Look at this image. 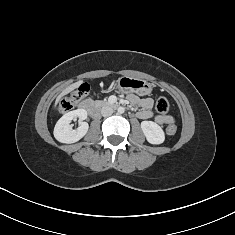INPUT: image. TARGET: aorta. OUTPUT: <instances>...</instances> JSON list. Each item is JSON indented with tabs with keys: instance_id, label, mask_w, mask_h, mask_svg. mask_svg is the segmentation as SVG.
Listing matches in <instances>:
<instances>
[{
	"instance_id": "1",
	"label": "aorta",
	"mask_w": 235,
	"mask_h": 235,
	"mask_svg": "<svg viewBox=\"0 0 235 235\" xmlns=\"http://www.w3.org/2000/svg\"><path fill=\"white\" fill-rule=\"evenodd\" d=\"M117 111H118L119 114H123L125 112V108L124 107H119Z\"/></svg>"
}]
</instances>
